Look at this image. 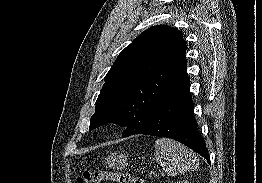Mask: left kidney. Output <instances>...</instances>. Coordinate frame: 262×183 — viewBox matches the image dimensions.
I'll list each match as a JSON object with an SVG mask.
<instances>
[{
	"label": "left kidney",
	"instance_id": "1",
	"mask_svg": "<svg viewBox=\"0 0 262 183\" xmlns=\"http://www.w3.org/2000/svg\"><path fill=\"white\" fill-rule=\"evenodd\" d=\"M175 183H189V181H187V180H182V181H177V182H175Z\"/></svg>",
	"mask_w": 262,
	"mask_h": 183
}]
</instances>
